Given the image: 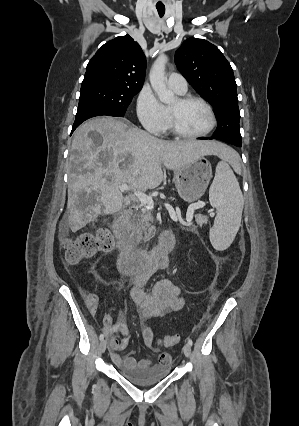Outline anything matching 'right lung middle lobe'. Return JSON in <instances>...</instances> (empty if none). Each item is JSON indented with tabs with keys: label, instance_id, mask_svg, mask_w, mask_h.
<instances>
[{
	"label": "right lung middle lobe",
	"instance_id": "1",
	"mask_svg": "<svg viewBox=\"0 0 299 426\" xmlns=\"http://www.w3.org/2000/svg\"><path fill=\"white\" fill-rule=\"evenodd\" d=\"M141 88H129L108 83L81 85L78 109L86 106H102L124 115Z\"/></svg>",
	"mask_w": 299,
	"mask_h": 426
}]
</instances>
